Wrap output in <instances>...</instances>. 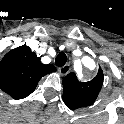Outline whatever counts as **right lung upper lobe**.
<instances>
[{
	"label": "right lung upper lobe",
	"mask_w": 124,
	"mask_h": 124,
	"mask_svg": "<svg viewBox=\"0 0 124 124\" xmlns=\"http://www.w3.org/2000/svg\"><path fill=\"white\" fill-rule=\"evenodd\" d=\"M52 64H42L40 57L26 46L9 51L0 62V88L14 99L31 94L39 80L55 72Z\"/></svg>",
	"instance_id": "obj_1"
}]
</instances>
